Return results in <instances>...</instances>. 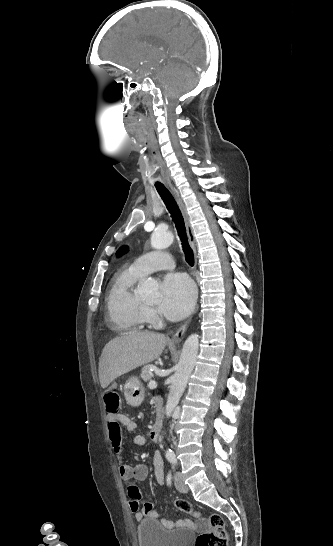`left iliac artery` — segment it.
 <instances>
[{
    "instance_id": "obj_1",
    "label": "left iliac artery",
    "mask_w": 333,
    "mask_h": 546,
    "mask_svg": "<svg viewBox=\"0 0 333 546\" xmlns=\"http://www.w3.org/2000/svg\"><path fill=\"white\" fill-rule=\"evenodd\" d=\"M167 459H168L172 464H174V465L177 463V459H176L174 453L168 454V455H167Z\"/></svg>"
}]
</instances>
